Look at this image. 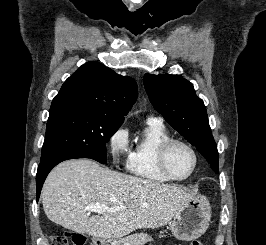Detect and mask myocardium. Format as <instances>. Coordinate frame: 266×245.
<instances>
[{
	"label": "myocardium",
	"mask_w": 266,
	"mask_h": 245,
	"mask_svg": "<svg viewBox=\"0 0 266 245\" xmlns=\"http://www.w3.org/2000/svg\"><path fill=\"white\" fill-rule=\"evenodd\" d=\"M175 144H181L185 146L186 148H188L194 157V166L191 172L186 177H183V178L175 177L168 167V154H169L170 149ZM158 165H159L161 172L169 180L176 181V182H183V181L189 180L196 173L198 165H199V155H198L197 150L189 142L182 140L180 138L171 137L165 140L158 149Z\"/></svg>",
	"instance_id": "1"
}]
</instances>
